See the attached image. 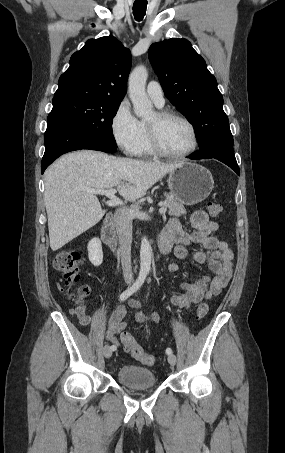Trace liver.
Instances as JSON below:
<instances>
[{
  "mask_svg": "<svg viewBox=\"0 0 285 453\" xmlns=\"http://www.w3.org/2000/svg\"><path fill=\"white\" fill-rule=\"evenodd\" d=\"M179 164L107 155L92 150L68 153L44 173V202L50 247L57 251L96 225L104 216L96 194L83 188L116 187L126 200H136Z\"/></svg>",
  "mask_w": 285,
  "mask_h": 453,
  "instance_id": "1",
  "label": "liver"
}]
</instances>
